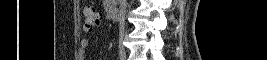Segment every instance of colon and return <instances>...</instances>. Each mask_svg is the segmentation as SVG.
Instances as JSON below:
<instances>
[{
  "mask_svg": "<svg viewBox=\"0 0 267 60\" xmlns=\"http://www.w3.org/2000/svg\"><path fill=\"white\" fill-rule=\"evenodd\" d=\"M102 16L94 8L88 7L83 11V29L86 32L93 31L101 24Z\"/></svg>",
  "mask_w": 267,
  "mask_h": 60,
  "instance_id": "5ec220e1",
  "label": "colon"
}]
</instances>
